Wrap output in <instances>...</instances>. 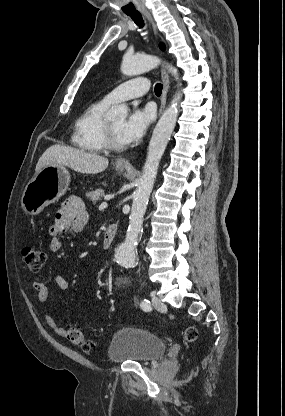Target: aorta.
<instances>
[{"mask_svg": "<svg viewBox=\"0 0 285 416\" xmlns=\"http://www.w3.org/2000/svg\"><path fill=\"white\" fill-rule=\"evenodd\" d=\"M160 60L155 56L136 55L125 56L122 61L121 71L126 76H135L155 68ZM168 71L178 80V70L171 65H166ZM181 94H175L170 106L164 111L153 131L142 175L133 194V202L125 241L117 248L116 258L125 268L137 265L136 245L140 238L143 225V217L152 192L160 160L164 154L168 141L174 130L178 117V103ZM128 109L126 106H117L108 112L110 119L126 118Z\"/></svg>", "mask_w": 285, "mask_h": 416, "instance_id": "762f6f07", "label": "aorta"}]
</instances>
